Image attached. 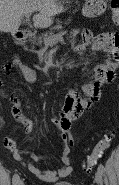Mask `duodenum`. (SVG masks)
<instances>
[{
  "mask_svg": "<svg viewBox=\"0 0 119 185\" xmlns=\"http://www.w3.org/2000/svg\"><path fill=\"white\" fill-rule=\"evenodd\" d=\"M14 37L17 44L23 45L28 39V32L26 30H18L14 33Z\"/></svg>",
  "mask_w": 119,
  "mask_h": 185,
  "instance_id": "duodenum-1",
  "label": "duodenum"
}]
</instances>
